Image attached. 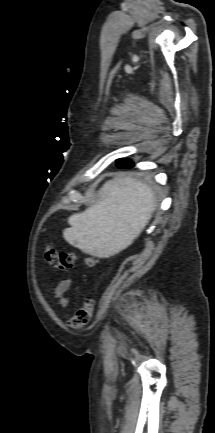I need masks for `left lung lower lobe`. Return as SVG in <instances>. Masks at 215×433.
Instances as JSON below:
<instances>
[{
  "mask_svg": "<svg viewBox=\"0 0 215 433\" xmlns=\"http://www.w3.org/2000/svg\"><path fill=\"white\" fill-rule=\"evenodd\" d=\"M119 168H131L133 167V163L129 164V165H125V166H119L117 165Z\"/></svg>",
  "mask_w": 215,
  "mask_h": 433,
  "instance_id": "0a47b994",
  "label": "left lung lower lobe"
}]
</instances>
